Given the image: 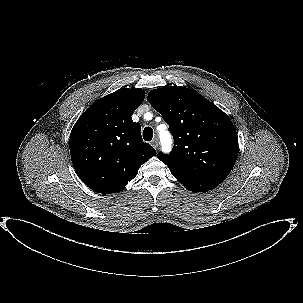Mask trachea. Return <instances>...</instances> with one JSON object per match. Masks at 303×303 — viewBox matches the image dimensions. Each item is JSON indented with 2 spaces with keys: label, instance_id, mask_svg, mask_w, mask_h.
Here are the masks:
<instances>
[{
  "label": "trachea",
  "instance_id": "1",
  "mask_svg": "<svg viewBox=\"0 0 303 303\" xmlns=\"http://www.w3.org/2000/svg\"><path fill=\"white\" fill-rule=\"evenodd\" d=\"M153 137V129L151 127H146L143 130V138L145 141H151Z\"/></svg>",
  "mask_w": 303,
  "mask_h": 303
}]
</instances>
